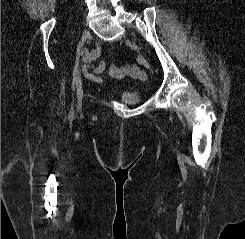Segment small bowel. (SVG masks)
Returning <instances> with one entry per match:
<instances>
[{"label":"small bowel","mask_w":245,"mask_h":239,"mask_svg":"<svg viewBox=\"0 0 245 239\" xmlns=\"http://www.w3.org/2000/svg\"><path fill=\"white\" fill-rule=\"evenodd\" d=\"M101 56V47L100 45H97L94 49L86 51L83 54V67L82 71L84 76L96 83L101 84L104 81L105 78V72H106V62L100 61L98 64H94L97 59Z\"/></svg>","instance_id":"small-bowel-1"}]
</instances>
